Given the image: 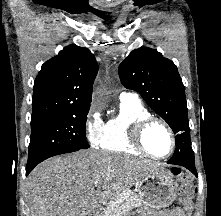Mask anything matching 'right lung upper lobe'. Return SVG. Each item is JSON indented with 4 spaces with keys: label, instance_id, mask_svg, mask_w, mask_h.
Returning a JSON list of instances; mask_svg holds the SVG:
<instances>
[{
    "label": "right lung upper lobe",
    "instance_id": "1",
    "mask_svg": "<svg viewBox=\"0 0 221 216\" xmlns=\"http://www.w3.org/2000/svg\"><path fill=\"white\" fill-rule=\"evenodd\" d=\"M97 72L98 64L88 49L64 48L42 65L34 82L31 121L90 108Z\"/></svg>",
    "mask_w": 221,
    "mask_h": 216
}]
</instances>
